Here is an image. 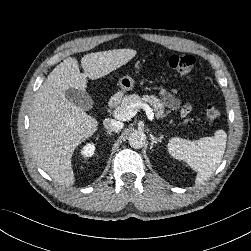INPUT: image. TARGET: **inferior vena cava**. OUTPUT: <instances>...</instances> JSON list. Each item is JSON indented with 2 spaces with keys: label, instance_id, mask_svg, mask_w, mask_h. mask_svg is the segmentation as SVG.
I'll return each mask as SVG.
<instances>
[{
  "label": "inferior vena cava",
  "instance_id": "inferior-vena-cava-1",
  "mask_svg": "<svg viewBox=\"0 0 251 251\" xmlns=\"http://www.w3.org/2000/svg\"><path fill=\"white\" fill-rule=\"evenodd\" d=\"M103 124L104 127L110 132H119L124 126L122 122L113 119H105Z\"/></svg>",
  "mask_w": 251,
  "mask_h": 251
}]
</instances>
